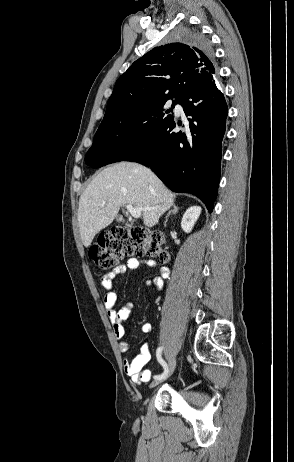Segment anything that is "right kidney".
Wrapping results in <instances>:
<instances>
[{
    "mask_svg": "<svg viewBox=\"0 0 294 462\" xmlns=\"http://www.w3.org/2000/svg\"><path fill=\"white\" fill-rule=\"evenodd\" d=\"M201 213V207L200 206H191L188 208L183 215L182 221H181V228L183 229L184 232L190 233L194 227L195 222L199 218V215Z\"/></svg>",
    "mask_w": 294,
    "mask_h": 462,
    "instance_id": "obj_1",
    "label": "right kidney"
}]
</instances>
